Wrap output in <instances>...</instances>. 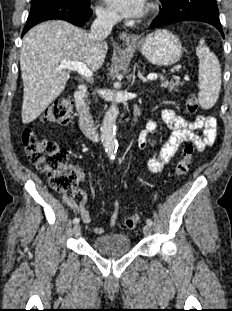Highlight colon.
Masks as SVG:
<instances>
[{"mask_svg":"<svg viewBox=\"0 0 232 311\" xmlns=\"http://www.w3.org/2000/svg\"><path fill=\"white\" fill-rule=\"evenodd\" d=\"M72 106L73 103L70 96H60L47 108L44 119L59 125L68 124L73 118ZM185 106L186 111L194 116L199 109L197 97L189 94L186 97ZM22 139L31 162L48 176L51 186L57 192L67 197H72L75 194L77 175L67 165L68 152L54 141L39 140L31 128L23 130ZM195 148L194 141H189L185 145L175 167L176 175L184 176L188 173ZM138 224V216H130L123 221V226L129 230L135 229Z\"/></svg>","mask_w":232,"mask_h":311,"instance_id":"1","label":"colon"}]
</instances>
